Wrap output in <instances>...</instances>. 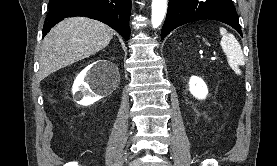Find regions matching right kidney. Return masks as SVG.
<instances>
[{
	"instance_id": "ca27d5eb",
	"label": "right kidney",
	"mask_w": 277,
	"mask_h": 166,
	"mask_svg": "<svg viewBox=\"0 0 277 166\" xmlns=\"http://www.w3.org/2000/svg\"><path fill=\"white\" fill-rule=\"evenodd\" d=\"M99 64H107L106 60H100ZM94 67L92 64L86 67L76 78L72 87V93L75 95L76 102L83 106H88L99 99L101 96L91 90V88H97L99 83L94 79ZM115 86V83H113Z\"/></svg>"
}]
</instances>
